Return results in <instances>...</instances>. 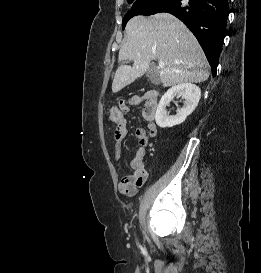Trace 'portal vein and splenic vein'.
Returning a JSON list of instances; mask_svg holds the SVG:
<instances>
[{"mask_svg": "<svg viewBox=\"0 0 261 273\" xmlns=\"http://www.w3.org/2000/svg\"><path fill=\"white\" fill-rule=\"evenodd\" d=\"M158 66H159V68H163V67H164V62L159 61V62H158Z\"/></svg>", "mask_w": 261, "mask_h": 273, "instance_id": "18ae733b", "label": "portal vein and splenic vein"}]
</instances>
